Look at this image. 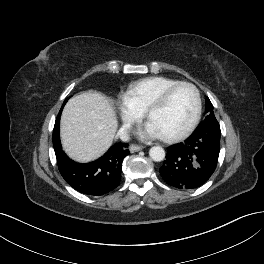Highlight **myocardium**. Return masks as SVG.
<instances>
[{"mask_svg":"<svg viewBox=\"0 0 264 264\" xmlns=\"http://www.w3.org/2000/svg\"><path fill=\"white\" fill-rule=\"evenodd\" d=\"M182 86H187L190 87L195 95V100H196V110L194 113V116L191 120V122L189 123V125L181 132L171 135V136H160L161 139L167 143H175L178 141H181L183 139H185L186 137H188L197 127L201 115H202V99H201V94L199 89L191 82H187V81H179L169 87H167L161 94L160 96L148 107V109L146 110V118L147 121H149L151 115L159 110L160 108H162L163 106H165L169 100V98L171 97L172 93L178 89L179 87Z\"/></svg>","mask_w":264,"mask_h":264,"instance_id":"f54148a6","label":"myocardium"}]
</instances>
